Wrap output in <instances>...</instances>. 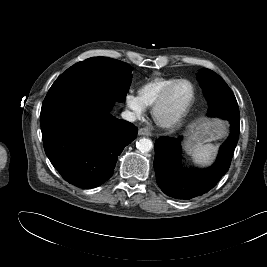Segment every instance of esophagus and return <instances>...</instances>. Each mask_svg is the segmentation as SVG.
<instances>
[{
    "instance_id": "obj_1",
    "label": "esophagus",
    "mask_w": 267,
    "mask_h": 267,
    "mask_svg": "<svg viewBox=\"0 0 267 267\" xmlns=\"http://www.w3.org/2000/svg\"><path fill=\"white\" fill-rule=\"evenodd\" d=\"M138 134L139 135H143V136H150L151 135V132L148 129H146V128H140L138 130Z\"/></svg>"
}]
</instances>
